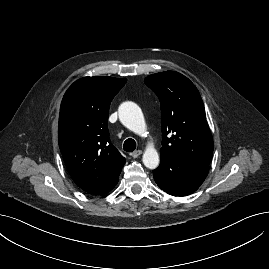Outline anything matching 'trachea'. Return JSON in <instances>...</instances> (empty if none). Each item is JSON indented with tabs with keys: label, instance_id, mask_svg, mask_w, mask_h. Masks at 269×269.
<instances>
[{
	"label": "trachea",
	"instance_id": "3493384b",
	"mask_svg": "<svg viewBox=\"0 0 269 269\" xmlns=\"http://www.w3.org/2000/svg\"><path fill=\"white\" fill-rule=\"evenodd\" d=\"M136 148V142L134 139L132 138H128L125 140L124 144H123V149L127 152H132L134 151Z\"/></svg>",
	"mask_w": 269,
	"mask_h": 269
}]
</instances>
